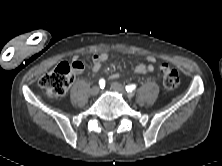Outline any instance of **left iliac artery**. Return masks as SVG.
<instances>
[{
	"mask_svg": "<svg viewBox=\"0 0 222 166\" xmlns=\"http://www.w3.org/2000/svg\"><path fill=\"white\" fill-rule=\"evenodd\" d=\"M125 88H126V91L129 94H131L136 89V85L135 84L127 85Z\"/></svg>",
	"mask_w": 222,
	"mask_h": 166,
	"instance_id": "left-iliac-artery-1",
	"label": "left iliac artery"
}]
</instances>
